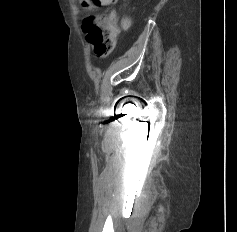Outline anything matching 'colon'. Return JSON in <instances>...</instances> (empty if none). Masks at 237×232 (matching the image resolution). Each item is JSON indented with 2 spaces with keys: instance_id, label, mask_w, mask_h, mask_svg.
Returning <instances> with one entry per match:
<instances>
[{
  "instance_id": "5ec220e1",
  "label": "colon",
  "mask_w": 237,
  "mask_h": 232,
  "mask_svg": "<svg viewBox=\"0 0 237 232\" xmlns=\"http://www.w3.org/2000/svg\"><path fill=\"white\" fill-rule=\"evenodd\" d=\"M85 9L81 23L86 32V39L94 47L100 57L110 55L116 44V36L120 27H127L129 20L112 13L109 16L95 14L96 6L110 5L116 0H78Z\"/></svg>"
}]
</instances>
